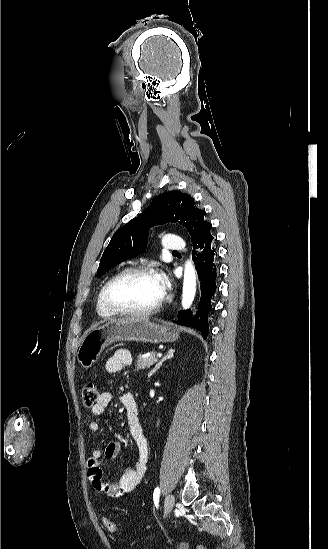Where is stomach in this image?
Returning <instances> with one entry per match:
<instances>
[{
  "instance_id": "1",
  "label": "stomach",
  "mask_w": 328,
  "mask_h": 549,
  "mask_svg": "<svg viewBox=\"0 0 328 549\" xmlns=\"http://www.w3.org/2000/svg\"><path fill=\"white\" fill-rule=\"evenodd\" d=\"M179 339L177 327L171 323H153L149 317H127L109 321L101 327H92L77 351V361L85 371L98 361L102 351L117 341H141V343H174Z\"/></svg>"
}]
</instances>
